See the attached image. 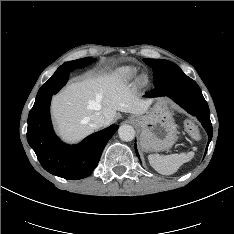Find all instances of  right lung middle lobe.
<instances>
[{
    "label": "right lung middle lobe",
    "instance_id": "obj_1",
    "mask_svg": "<svg viewBox=\"0 0 234 234\" xmlns=\"http://www.w3.org/2000/svg\"><path fill=\"white\" fill-rule=\"evenodd\" d=\"M95 59L93 58H82L74 61H69L60 66L57 70H68L73 71L74 69L83 68L85 66L93 63Z\"/></svg>",
    "mask_w": 234,
    "mask_h": 234
}]
</instances>
